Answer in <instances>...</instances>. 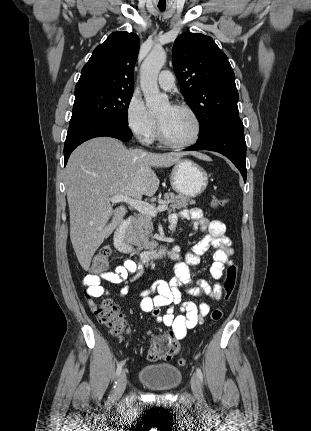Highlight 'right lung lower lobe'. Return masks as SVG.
Wrapping results in <instances>:
<instances>
[{
	"label": "right lung lower lobe",
	"mask_w": 311,
	"mask_h": 431,
	"mask_svg": "<svg viewBox=\"0 0 311 431\" xmlns=\"http://www.w3.org/2000/svg\"><path fill=\"white\" fill-rule=\"evenodd\" d=\"M101 136L128 141L132 138V133L128 128V123L122 124L109 119L89 118L70 124L64 144L65 165L70 154L78 145Z\"/></svg>",
	"instance_id": "obj_1"
}]
</instances>
